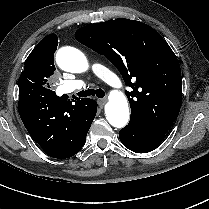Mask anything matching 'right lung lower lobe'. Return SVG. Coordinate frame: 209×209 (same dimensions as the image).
<instances>
[{
    "instance_id": "98d812e1",
    "label": "right lung lower lobe",
    "mask_w": 209,
    "mask_h": 209,
    "mask_svg": "<svg viewBox=\"0 0 209 209\" xmlns=\"http://www.w3.org/2000/svg\"><path fill=\"white\" fill-rule=\"evenodd\" d=\"M18 110L32 139L50 157L69 158L84 146L89 129L76 134L73 129L56 123L69 110L56 94L45 96L33 88L19 89ZM95 110L97 111V103Z\"/></svg>"
}]
</instances>
